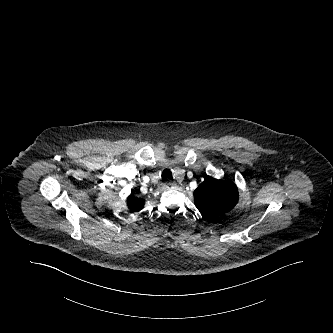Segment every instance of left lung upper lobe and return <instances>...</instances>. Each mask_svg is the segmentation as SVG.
I'll list each match as a JSON object with an SVG mask.
<instances>
[{
  "label": "left lung upper lobe",
  "instance_id": "1",
  "mask_svg": "<svg viewBox=\"0 0 333 333\" xmlns=\"http://www.w3.org/2000/svg\"><path fill=\"white\" fill-rule=\"evenodd\" d=\"M238 202V189L231 181L217 180L208 175L194 191V203L202 217L216 219L233 209Z\"/></svg>",
  "mask_w": 333,
  "mask_h": 333
}]
</instances>
